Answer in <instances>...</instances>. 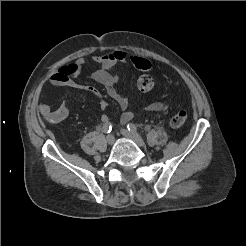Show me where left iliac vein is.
Listing matches in <instances>:
<instances>
[{"instance_id":"4c4485c4","label":"left iliac vein","mask_w":246,"mask_h":246,"mask_svg":"<svg viewBox=\"0 0 246 246\" xmlns=\"http://www.w3.org/2000/svg\"><path fill=\"white\" fill-rule=\"evenodd\" d=\"M120 132L124 137L134 141L139 147H144L145 143L137 133L130 132L127 129H121Z\"/></svg>"}]
</instances>
